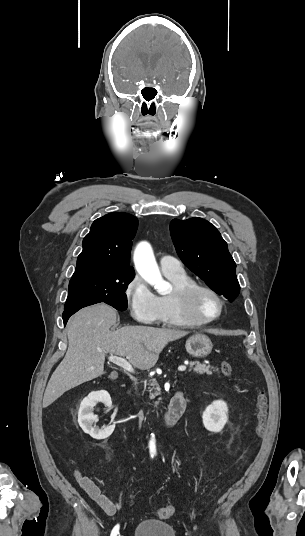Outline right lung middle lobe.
Wrapping results in <instances>:
<instances>
[{
	"label": "right lung middle lobe",
	"mask_w": 305,
	"mask_h": 536,
	"mask_svg": "<svg viewBox=\"0 0 305 536\" xmlns=\"http://www.w3.org/2000/svg\"><path fill=\"white\" fill-rule=\"evenodd\" d=\"M135 274H88L72 277L64 310L105 302L118 310L127 309L125 291Z\"/></svg>",
	"instance_id": "right-lung-middle-lobe-1"
}]
</instances>
